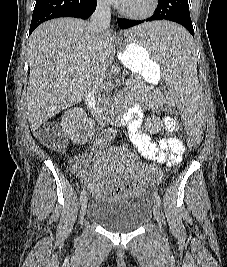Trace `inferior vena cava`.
I'll return each mask as SVG.
<instances>
[{
  "instance_id": "obj_1",
  "label": "inferior vena cava",
  "mask_w": 227,
  "mask_h": 267,
  "mask_svg": "<svg viewBox=\"0 0 227 267\" xmlns=\"http://www.w3.org/2000/svg\"><path fill=\"white\" fill-rule=\"evenodd\" d=\"M111 12L110 6L106 0H98L95 12L92 14L89 22V30L96 38L101 39L110 26ZM104 71L100 70L93 85L100 93L106 89Z\"/></svg>"
}]
</instances>
